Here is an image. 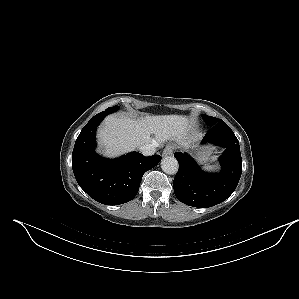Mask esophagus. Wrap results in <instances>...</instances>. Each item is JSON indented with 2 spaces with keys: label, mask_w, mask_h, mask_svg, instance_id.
Segmentation results:
<instances>
[{
  "label": "esophagus",
  "mask_w": 299,
  "mask_h": 299,
  "mask_svg": "<svg viewBox=\"0 0 299 299\" xmlns=\"http://www.w3.org/2000/svg\"><path fill=\"white\" fill-rule=\"evenodd\" d=\"M174 149H175L174 145H172V144H168V145H166V147L164 148L162 155H163V156H170V155L173 154Z\"/></svg>",
  "instance_id": "obj_1"
}]
</instances>
